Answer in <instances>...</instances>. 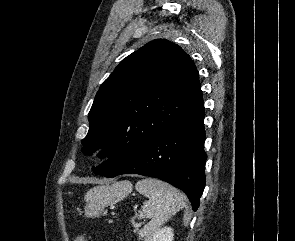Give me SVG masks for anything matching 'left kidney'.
Returning <instances> with one entry per match:
<instances>
[{
	"mask_svg": "<svg viewBox=\"0 0 295 241\" xmlns=\"http://www.w3.org/2000/svg\"><path fill=\"white\" fill-rule=\"evenodd\" d=\"M174 233L171 227H164L154 233L146 241H173Z\"/></svg>",
	"mask_w": 295,
	"mask_h": 241,
	"instance_id": "obj_1",
	"label": "left kidney"
}]
</instances>
